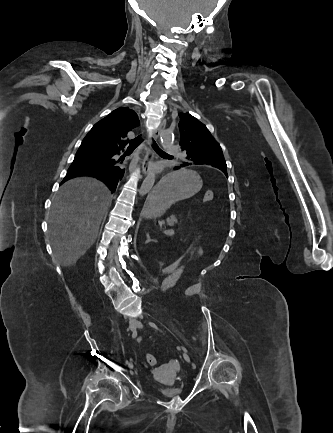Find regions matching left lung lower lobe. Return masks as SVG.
<instances>
[{"label":"left lung lower lobe","mask_w":333,"mask_h":433,"mask_svg":"<svg viewBox=\"0 0 333 433\" xmlns=\"http://www.w3.org/2000/svg\"><path fill=\"white\" fill-rule=\"evenodd\" d=\"M153 206L154 202L152 200H148L145 207V213L148 214V212L152 210Z\"/></svg>","instance_id":"1"}]
</instances>
